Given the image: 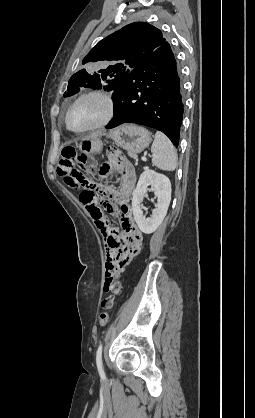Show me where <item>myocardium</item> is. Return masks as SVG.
I'll return each mask as SVG.
<instances>
[{
  "label": "myocardium",
  "instance_id": "obj_1",
  "mask_svg": "<svg viewBox=\"0 0 255 418\" xmlns=\"http://www.w3.org/2000/svg\"><path fill=\"white\" fill-rule=\"evenodd\" d=\"M90 96H96L101 98L104 103H105V113L103 115V117L101 118L100 121H98L97 123L84 128V129H74L70 126L69 124V115L70 112L72 110V108L82 99L86 98V97H90ZM114 112H115V104H114V100L111 97V95L103 90H97V89H93V90H88L86 92H83L82 94H80L77 98L74 99V101L69 105V107L67 108L66 114H65V124L68 130L74 132V133H86V132H91L100 128L105 127L113 118L114 116Z\"/></svg>",
  "mask_w": 255,
  "mask_h": 418
}]
</instances>
